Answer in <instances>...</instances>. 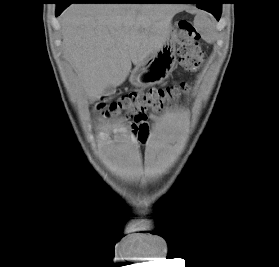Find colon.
Instances as JSON below:
<instances>
[{"label":"colon","instance_id":"5ec220e1","mask_svg":"<svg viewBox=\"0 0 279 267\" xmlns=\"http://www.w3.org/2000/svg\"><path fill=\"white\" fill-rule=\"evenodd\" d=\"M178 56L180 65L189 71H197L204 62L200 47V34L194 24L187 19L179 21L177 33ZM190 89L188 83L182 82L163 88H152L148 91H132L122 95L118 100H103L98 109L107 116L125 114L139 120L148 111L160 112L164 107Z\"/></svg>","mask_w":279,"mask_h":267}]
</instances>
